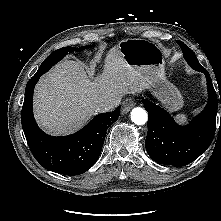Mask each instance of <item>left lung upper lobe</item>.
<instances>
[{
	"label": "left lung upper lobe",
	"instance_id": "obj_1",
	"mask_svg": "<svg viewBox=\"0 0 221 221\" xmlns=\"http://www.w3.org/2000/svg\"><path fill=\"white\" fill-rule=\"evenodd\" d=\"M177 43L179 44L180 48L182 49V52L184 54L186 61L191 65L192 68H198V67L202 66L199 63V61L197 60L194 52L188 46H186L181 41H177Z\"/></svg>",
	"mask_w": 221,
	"mask_h": 221
}]
</instances>
